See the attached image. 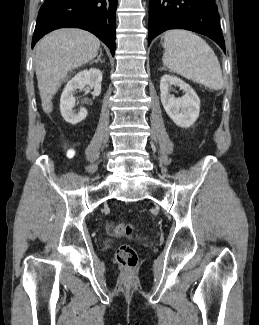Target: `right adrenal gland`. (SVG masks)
Segmentation results:
<instances>
[{
    "instance_id": "2a0ac1e0",
    "label": "right adrenal gland",
    "mask_w": 259,
    "mask_h": 325,
    "mask_svg": "<svg viewBox=\"0 0 259 325\" xmlns=\"http://www.w3.org/2000/svg\"><path fill=\"white\" fill-rule=\"evenodd\" d=\"M101 55H102V50H100V54L97 57V59L94 60V61H92L90 64L97 63L98 61H100L101 63H103V61L101 60Z\"/></svg>"
}]
</instances>
